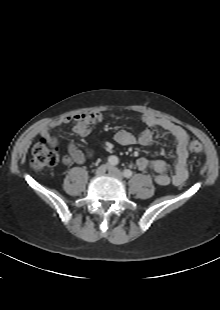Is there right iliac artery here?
I'll use <instances>...</instances> for the list:
<instances>
[{
    "label": "right iliac artery",
    "instance_id": "obj_1",
    "mask_svg": "<svg viewBox=\"0 0 220 310\" xmlns=\"http://www.w3.org/2000/svg\"><path fill=\"white\" fill-rule=\"evenodd\" d=\"M118 162H119V160H118V158H117L116 156H110V157L108 158V163H109L110 165H112V166L117 165Z\"/></svg>",
    "mask_w": 220,
    "mask_h": 310
}]
</instances>
